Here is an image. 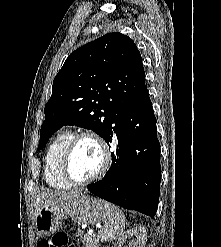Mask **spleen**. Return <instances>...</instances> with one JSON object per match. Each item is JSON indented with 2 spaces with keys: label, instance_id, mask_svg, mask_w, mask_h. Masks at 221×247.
Instances as JSON below:
<instances>
[{
  "label": "spleen",
  "instance_id": "spleen-1",
  "mask_svg": "<svg viewBox=\"0 0 221 247\" xmlns=\"http://www.w3.org/2000/svg\"><path fill=\"white\" fill-rule=\"evenodd\" d=\"M125 215L116 206L106 203V221L99 233L101 241H110L123 235Z\"/></svg>",
  "mask_w": 221,
  "mask_h": 247
}]
</instances>
